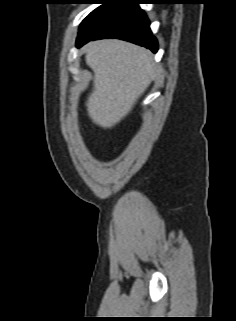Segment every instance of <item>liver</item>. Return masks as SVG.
<instances>
[{
    "label": "liver",
    "mask_w": 236,
    "mask_h": 321,
    "mask_svg": "<svg viewBox=\"0 0 236 321\" xmlns=\"http://www.w3.org/2000/svg\"><path fill=\"white\" fill-rule=\"evenodd\" d=\"M86 64L94 72L93 91L86 102L92 121L111 128L126 117L154 78L149 50L117 39L87 44Z\"/></svg>",
    "instance_id": "obj_1"
}]
</instances>
